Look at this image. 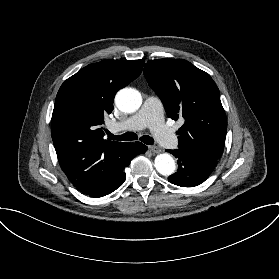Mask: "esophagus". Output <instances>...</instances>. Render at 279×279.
<instances>
[{"instance_id": "1", "label": "esophagus", "mask_w": 279, "mask_h": 279, "mask_svg": "<svg viewBox=\"0 0 279 279\" xmlns=\"http://www.w3.org/2000/svg\"><path fill=\"white\" fill-rule=\"evenodd\" d=\"M148 148L151 152L156 153V154L161 152V149L157 146L152 145V146H149Z\"/></svg>"}]
</instances>
